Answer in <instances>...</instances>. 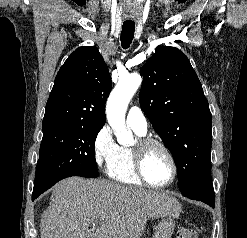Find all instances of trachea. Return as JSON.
Instances as JSON below:
<instances>
[{
    "instance_id": "trachea-1",
    "label": "trachea",
    "mask_w": 247,
    "mask_h": 238,
    "mask_svg": "<svg viewBox=\"0 0 247 238\" xmlns=\"http://www.w3.org/2000/svg\"><path fill=\"white\" fill-rule=\"evenodd\" d=\"M135 31V23L133 21H124L121 31V45L124 49L129 48L132 43Z\"/></svg>"
}]
</instances>
